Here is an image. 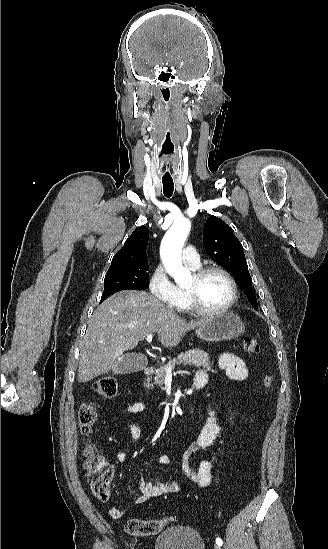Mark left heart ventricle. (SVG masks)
<instances>
[{
	"label": "left heart ventricle",
	"mask_w": 328,
	"mask_h": 549,
	"mask_svg": "<svg viewBox=\"0 0 328 549\" xmlns=\"http://www.w3.org/2000/svg\"><path fill=\"white\" fill-rule=\"evenodd\" d=\"M185 287H193L200 305L206 309H216L226 304L231 296V285L227 278L219 271L207 273L200 280L195 281L191 275Z\"/></svg>",
	"instance_id": "obj_1"
}]
</instances>
